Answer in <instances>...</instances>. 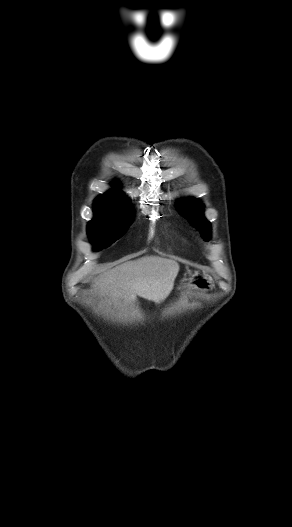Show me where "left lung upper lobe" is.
Listing matches in <instances>:
<instances>
[{"label": "left lung upper lobe", "mask_w": 292, "mask_h": 527, "mask_svg": "<svg viewBox=\"0 0 292 527\" xmlns=\"http://www.w3.org/2000/svg\"><path fill=\"white\" fill-rule=\"evenodd\" d=\"M177 207L201 232L204 239L207 240L211 235V228L209 222L203 216V205L194 199H186L181 201Z\"/></svg>", "instance_id": "1"}]
</instances>
